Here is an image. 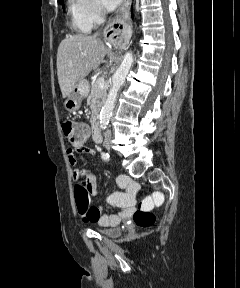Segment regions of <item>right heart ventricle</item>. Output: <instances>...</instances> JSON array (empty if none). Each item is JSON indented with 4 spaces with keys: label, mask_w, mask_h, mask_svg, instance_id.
Returning a JSON list of instances; mask_svg holds the SVG:
<instances>
[{
    "label": "right heart ventricle",
    "mask_w": 240,
    "mask_h": 288,
    "mask_svg": "<svg viewBox=\"0 0 240 288\" xmlns=\"http://www.w3.org/2000/svg\"><path fill=\"white\" fill-rule=\"evenodd\" d=\"M69 14L71 16L72 26L75 30L81 33H85L90 30L91 26L82 19L75 0H73L69 7Z\"/></svg>",
    "instance_id": "e07e8e85"
}]
</instances>
